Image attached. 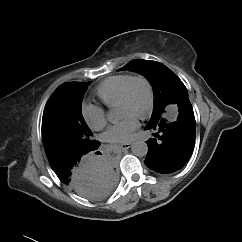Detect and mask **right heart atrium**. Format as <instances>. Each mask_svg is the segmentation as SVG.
I'll return each instance as SVG.
<instances>
[{"mask_svg":"<svg viewBox=\"0 0 242 242\" xmlns=\"http://www.w3.org/2000/svg\"><path fill=\"white\" fill-rule=\"evenodd\" d=\"M80 114L85 124L91 130H100L106 124V115L102 107L84 102L80 107Z\"/></svg>","mask_w":242,"mask_h":242,"instance_id":"1","label":"right heart atrium"}]
</instances>
